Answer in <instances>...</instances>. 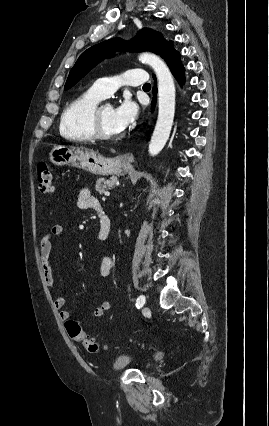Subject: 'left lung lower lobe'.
I'll return each mask as SVG.
<instances>
[{
	"label": "left lung lower lobe",
	"instance_id": "left-lung-lower-lobe-1",
	"mask_svg": "<svg viewBox=\"0 0 269 426\" xmlns=\"http://www.w3.org/2000/svg\"><path fill=\"white\" fill-rule=\"evenodd\" d=\"M160 56L166 61L168 64L172 74L178 80L180 84L184 83V67L181 63L180 53L177 52L173 47V42H171L160 54ZM153 93L156 94V86L153 88ZM156 96L153 97L152 107L155 106Z\"/></svg>",
	"mask_w": 269,
	"mask_h": 426
}]
</instances>
